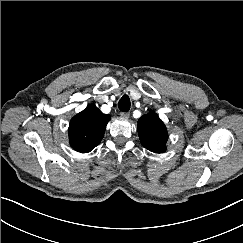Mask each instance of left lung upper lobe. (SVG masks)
<instances>
[{
  "label": "left lung upper lobe",
  "mask_w": 243,
  "mask_h": 243,
  "mask_svg": "<svg viewBox=\"0 0 243 243\" xmlns=\"http://www.w3.org/2000/svg\"><path fill=\"white\" fill-rule=\"evenodd\" d=\"M138 134L142 145L155 153L166 150L168 134L164 123L155 112H150L138 120Z\"/></svg>",
  "instance_id": "left-lung-upper-lobe-1"
}]
</instances>
